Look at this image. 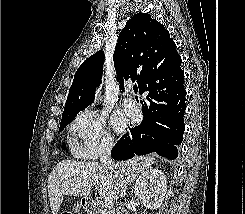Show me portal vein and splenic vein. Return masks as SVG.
Returning <instances> with one entry per match:
<instances>
[{
    "instance_id": "1",
    "label": "portal vein and splenic vein",
    "mask_w": 245,
    "mask_h": 214,
    "mask_svg": "<svg viewBox=\"0 0 245 214\" xmlns=\"http://www.w3.org/2000/svg\"><path fill=\"white\" fill-rule=\"evenodd\" d=\"M113 204V198L112 197H105L104 198V205L105 206H110Z\"/></svg>"
}]
</instances>
